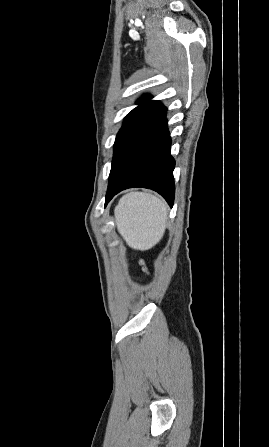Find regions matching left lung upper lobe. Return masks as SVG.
<instances>
[{
	"instance_id": "1",
	"label": "left lung upper lobe",
	"mask_w": 269,
	"mask_h": 447,
	"mask_svg": "<svg viewBox=\"0 0 269 447\" xmlns=\"http://www.w3.org/2000/svg\"><path fill=\"white\" fill-rule=\"evenodd\" d=\"M151 97L139 99L138 107L126 117L114 143V154L109 175V183L114 179L124 161L134 148L163 120L165 107L158 101H148Z\"/></svg>"
}]
</instances>
